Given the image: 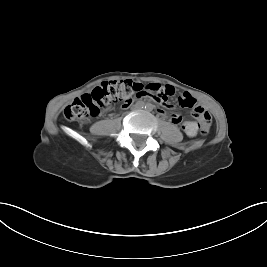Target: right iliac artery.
Instances as JSON below:
<instances>
[{
    "instance_id": "obj_1",
    "label": "right iliac artery",
    "mask_w": 267,
    "mask_h": 267,
    "mask_svg": "<svg viewBox=\"0 0 267 267\" xmlns=\"http://www.w3.org/2000/svg\"><path fill=\"white\" fill-rule=\"evenodd\" d=\"M137 106H138V107H144V103H143L142 101H138V102H137Z\"/></svg>"
}]
</instances>
